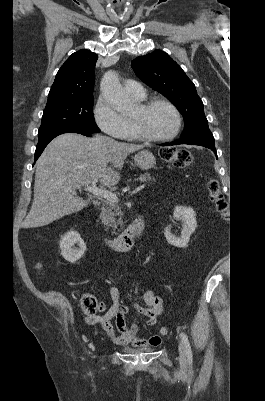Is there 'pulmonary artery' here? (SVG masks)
Here are the masks:
<instances>
[{"label":"pulmonary artery","instance_id":"obj_1","mask_svg":"<svg viewBox=\"0 0 265 401\" xmlns=\"http://www.w3.org/2000/svg\"><path fill=\"white\" fill-rule=\"evenodd\" d=\"M123 88L125 92L132 96L142 97L145 95L144 89L136 81H124Z\"/></svg>","mask_w":265,"mask_h":401}]
</instances>
